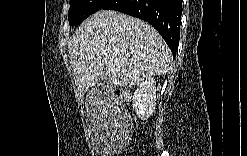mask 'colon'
Here are the masks:
<instances>
[{"label":"colon","instance_id":"1","mask_svg":"<svg viewBox=\"0 0 247 156\" xmlns=\"http://www.w3.org/2000/svg\"><path fill=\"white\" fill-rule=\"evenodd\" d=\"M130 96V92L127 89H119L116 94V97L123 101H129Z\"/></svg>","mask_w":247,"mask_h":156}]
</instances>
